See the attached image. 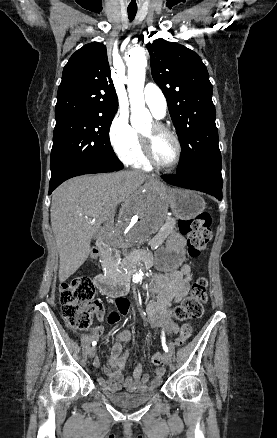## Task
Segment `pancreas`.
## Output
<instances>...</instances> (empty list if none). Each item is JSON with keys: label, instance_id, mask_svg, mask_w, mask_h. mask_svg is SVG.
<instances>
[{"label": "pancreas", "instance_id": "cf45deb5", "mask_svg": "<svg viewBox=\"0 0 277 438\" xmlns=\"http://www.w3.org/2000/svg\"><path fill=\"white\" fill-rule=\"evenodd\" d=\"M172 228V226H169ZM168 228V230H169ZM167 228H158L157 235H153L152 239H147L145 245L147 248H157L159 244H162L163 238L168 235ZM104 265L105 267H110L112 270H115L118 267L117 264V254L115 251H108L106 254Z\"/></svg>", "mask_w": 277, "mask_h": 438}]
</instances>
